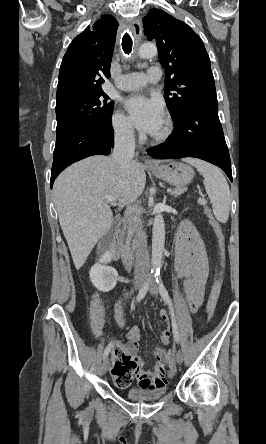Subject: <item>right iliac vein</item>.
Segmentation results:
<instances>
[{"instance_id":"63e3f726","label":"right iliac vein","mask_w":266,"mask_h":444,"mask_svg":"<svg viewBox=\"0 0 266 444\" xmlns=\"http://www.w3.org/2000/svg\"><path fill=\"white\" fill-rule=\"evenodd\" d=\"M135 284L137 286H141L144 284V281L142 279H138L135 282ZM108 368H109V359H108V357H105L103 360L102 366H101V374L104 375L107 372Z\"/></svg>"}]
</instances>
